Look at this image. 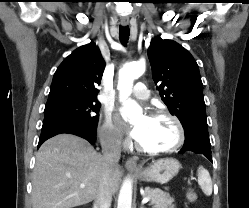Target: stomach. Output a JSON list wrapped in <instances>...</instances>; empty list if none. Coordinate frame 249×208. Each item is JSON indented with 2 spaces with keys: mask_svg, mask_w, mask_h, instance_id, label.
<instances>
[{
  "mask_svg": "<svg viewBox=\"0 0 249 208\" xmlns=\"http://www.w3.org/2000/svg\"><path fill=\"white\" fill-rule=\"evenodd\" d=\"M180 167L178 160L163 158L138 171L137 176L142 181L165 184L178 174Z\"/></svg>",
  "mask_w": 249,
  "mask_h": 208,
  "instance_id": "stomach-1",
  "label": "stomach"
}]
</instances>
